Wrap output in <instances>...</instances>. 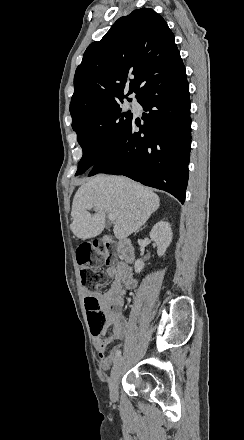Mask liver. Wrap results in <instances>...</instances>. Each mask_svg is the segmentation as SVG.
<instances>
[{
  "label": "liver",
  "instance_id": "obj_1",
  "mask_svg": "<svg viewBox=\"0 0 244 440\" xmlns=\"http://www.w3.org/2000/svg\"><path fill=\"white\" fill-rule=\"evenodd\" d=\"M88 206L94 208V216ZM159 206L157 194L129 178L95 176L73 198L70 230L82 240L95 238L104 230L106 214H114V236L123 240L144 226Z\"/></svg>",
  "mask_w": 244,
  "mask_h": 440
}]
</instances>
